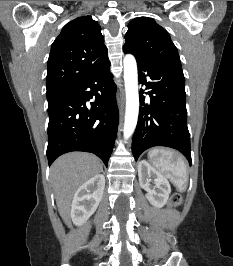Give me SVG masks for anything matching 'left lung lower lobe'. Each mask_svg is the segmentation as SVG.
Wrapping results in <instances>:
<instances>
[{
	"mask_svg": "<svg viewBox=\"0 0 233 266\" xmlns=\"http://www.w3.org/2000/svg\"><path fill=\"white\" fill-rule=\"evenodd\" d=\"M137 66L140 83L145 84L146 90L150 91L147 92L149 99L140 96L139 118L132 140L135 160L150 147L166 146L179 150L191 165L182 68L151 65L138 60Z\"/></svg>",
	"mask_w": 233,
	"mask_h": 266,
	"instance_id": "obj_1",
	"label": "left lung lower lobe"
}]
</instances>
